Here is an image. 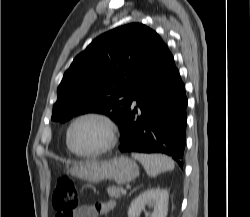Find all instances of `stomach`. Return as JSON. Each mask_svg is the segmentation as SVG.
<instances>
[{
    "instance_id": "obj_1",
    "label": "stomach",
    "mask_w": 250,
    "mask_h": 217,
    "mask_svg": "<svg viewBox=\"0 0 250 217\" xmlns=\"http://www.w3.org/2000/svg\"><path fill=\"white\" fill-rule=\"evenodd\" d=\"M71 173L92 183L108 179L117 184H125L138 176L139 169L132 159L120 156L108 161H86L76 164L71 169Z\"/></svg>"
}]
</instances>
